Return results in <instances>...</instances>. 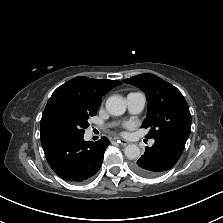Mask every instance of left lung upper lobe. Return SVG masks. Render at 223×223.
I'll list each match as a JSON object with an SVG mask.
<instances>
[{
    "label": "left lung upper lobe",
    "mask_w": 223,
    "mask_h": 223,
    "mask_svg": "<svg viewBox=\"0 0 223 223\" xmlns=\"http://www.w3.org/2000/svg\"><path fill=\"white\" fill-rule=\"evenodd\" d=\"M140 88L148 101L147 117L142 127H149L147 138L165 135L187 140L191 130V114L181 92L156 75L144 73L124 80Z\"/></svg>",
    "instance_id": "1"
}]
</instances>
